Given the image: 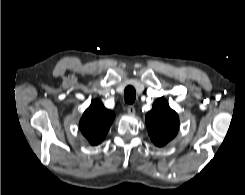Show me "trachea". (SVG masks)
<instances>
[{
    "mask_svg": "<svg viewBox=\"0 0 245 195\" xmlns=\"http://www.w3.org/2000/svg\"><path fill=\"white\" fill-rule=\"evenodd\" d=\"M136 99V91L133 86H127L124 91V100L128 104H133Z\"/></svg>",
    "mask_w": 245,
    "mask_h": 195,
    "instance_id": "1",
    "label": "trachea"
}]
</instances>
